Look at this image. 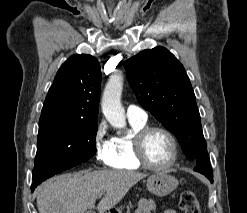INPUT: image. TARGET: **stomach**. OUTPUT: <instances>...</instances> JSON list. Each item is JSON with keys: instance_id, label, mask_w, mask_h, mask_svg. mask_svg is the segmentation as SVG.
I'll return each mask as SVG.
<instances>
[{"instance_id": "1", "label": "stomach", "mask_w": 247, "mask_h": 213, "mask_svg": "<svg viewBox=\"0 0 247 213\" xmlns=\"http://www.w3.org/2000/svg\"><path fill=\"white\" fill-rule=\"evenodd\" d=\"M178 184L179 182L174 176L167 172H158L148 177L146 186L148 191L152 194L156 196H166L173 192L177 188ZM106 213L122 212L120 209L114 208L109 209Z\"/></svg>"}]
</instances>
